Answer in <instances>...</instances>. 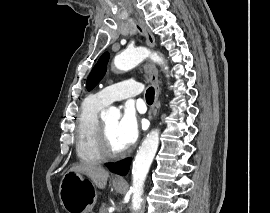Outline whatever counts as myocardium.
<instances>
[{
  "mask_svg": "<svg viewBox=\"0 0 270 213\" xmlns=\"http://www.w3.org/2000/svg\"><path fill=\"white\" fill-rule=\"evenodd\" d=\"M97 146L104 159H117L125 154V150L115 151L111 148L105 126L102 121H98L96 130Z\"/></svg>",
  "mask_w": 270,
  "mask_h": 213,
  "instance_id": "f54148a6",
  "label": "myocardium"
}]
</instances>
